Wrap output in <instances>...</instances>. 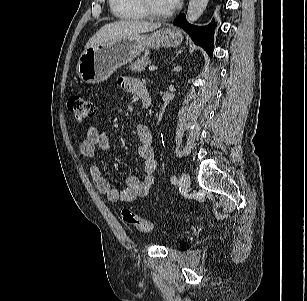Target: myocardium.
Listing matches in <instances>:
<instances>
[{
  "mask_svg": "<svg viewBox=\"0 0 307 301\" xmlns=\"http://www.w3.org/2000/svg\"><path fill=\"white\" fill-rule=\"evenodd\" d=\"M138 3L142 9V11L146 14V16L151 17V18H167L171 16L174 12V8L170 9L167 12H158L155 11L148 0H138Z\"/></svg>",
  "mask_w": 307,
  "mask_h": 301,
  "instance_id": "myocardium-1",
  "label": "myocardium"
}]
</instances>
